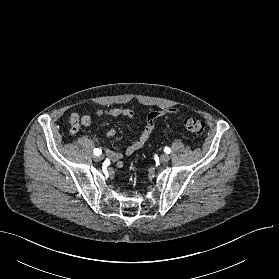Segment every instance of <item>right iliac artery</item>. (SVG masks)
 <instances>
[{"label":"right iliac artery","instance_id":"obj_1","mask_svg":"<svg viewBox=\"0 0 279 279\" xmlns=\"http://www.w3.org/2000/svg\"><path fill=\"white\" fill-rule=\"evenodd\" d=\"M101 150L100 149H94V155L99 156L101 154Z\"/></svg>","mask_w":279,"mask_h":279}]
</instances>
